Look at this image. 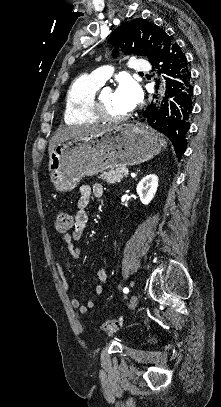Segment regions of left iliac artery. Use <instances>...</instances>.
Segmentation results:
<instances>
[{
    "label": "left iliac artery",
    "mask_w": 221,
    "mask_h": 407,
    "mask_svg": "<svg viewBox=\"0 0 221 407\" xmlns=\"http://www.w3.org/2000/svg\"><path fill=\"white\" fill-rule=\"evenodd\" d=\"M123 292H124V293H128V292H129V289H128L127 287H125V288L123 289Z\"/></svg>",
    "instance_id": "left-iliac-artery-1"
}]
</instances>
